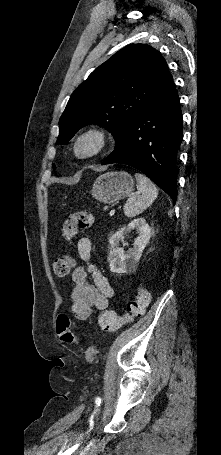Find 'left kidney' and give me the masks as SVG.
<instances>
[{
  "mask_svg": "<svg viewBox=\"0 0 221 455\" xmlns=\"http://www.w3.org/2000/svg\"><path fill=\"white\" fill-rule=\"evenodd\" d=\"M133 229H136L138 237L134 241L133 248L125 252L123 248L119 247V243L122 241L123 246L127 245L124 243V235ZM150 237L151 229L144 218L134 219L127 226L115 232L109 239L110 252L108 254V262L111 272L125 273L134 269Z\"/></svg>",
  "mask_w": 221,
  "mask_h": 455,
  "instance_id": "5707ae66",
  "label": "left kidney"
}]
</instances>
